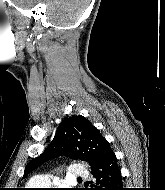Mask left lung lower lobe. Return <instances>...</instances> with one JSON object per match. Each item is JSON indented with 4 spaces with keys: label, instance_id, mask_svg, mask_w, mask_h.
Segmentation results:
<instances>
[{
    "label": "left lung lower lobe",
    "instance_id": "left-lung-lower-lobe-1",
    "mask_svg": "<svg viewBox=\"0 0 165 190\" xmlns=\"http://www.w3.org/2000/svg\"><path fill=\"white\" fill-rule=\"evenodd\" d=\"M92 174L99 185L96 190H122L121 171L114 153L96 164L92 168Z\"/></svg>",
    "mask_w": 165,
    "mask_h": 190
}]
</instances>
